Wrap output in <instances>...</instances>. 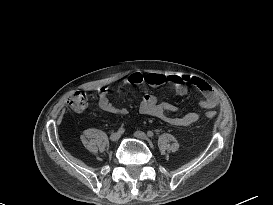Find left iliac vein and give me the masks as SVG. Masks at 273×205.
<instances>
[{"label":"left iliac vein","instance_id":"4c4485c4","mask_svg":"<svg viewBox=\"0 0 273 205\" xmlns=\"http://www.w3.org/2000/svg\"><path fill=\"white\" fill-rule=\"evenodd\" d=\"M134 137L140 140H147V135L142 131H136L134 132Z\"/></svg>","mask_w":273,"mask_h":205}]
</instances>
